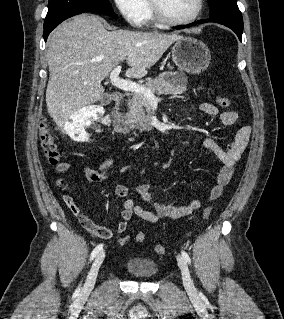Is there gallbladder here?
I'll return each mask as SVG.
<instances>
[{
  "label": "gallbladder",
  "mask_w": 284,
  "mask_h": 319,
  "mask_svg": "<svg viewBox=\"0 0 284 319\" xmlns=\"http://www.w3.org/2000/svg\"><path fill=\"white\" fill-rule=\"evenodd\" d=\"M101 104H107L110 102V95L109 94H104L102 97H101V100H100Z\"/></svg>",
  "instance_id": "bac80fb5"
}]
</instances>
